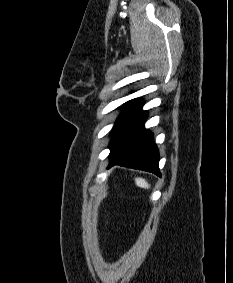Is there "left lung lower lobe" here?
I'll list each match as a JSON object with an SVG mask.
<instances>
[{
	"mask_svg": "<svg viewBox=\"0 0 233 283\" xmlns=\"http://www.w3.org/2000/svg\"><path fill=\"white\" fill-rule=\"evenodd\" d=\"M142 106L143 103L136 102L116 126L109 146L108 168L114 165L126 166L161 177L158 150L152 133L144 127L147 111H142Z\"/></svg>",
	"mask_w": 233,
	"mask_h": 283,
	"instance_id": "obj_1",
	"label": "left lung lower lobe"
}]
</instances>
